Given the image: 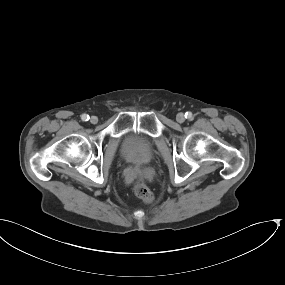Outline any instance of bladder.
<instances>
[{
    "label": "bladder",
    "instance_id": "bladder-1",
    "mask_svg": "<svg viewBox=\"0 0 285 285\" xmlns=\"http://www.w3.org/2000/svg\"><path fill=\"white\" fill-rule=\"evenodd\" d=\"M121 151L127 163L145 164L154 154V141L143 134H128L121 141Z\"/></svg>",
    "mask_w": 285,
    "mask_h": 285
}]
</instances>
